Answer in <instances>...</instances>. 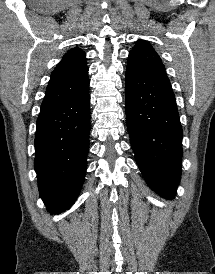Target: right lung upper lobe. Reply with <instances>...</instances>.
I'll return each mask as SVG.
<instances>
[{
	"instance_id": "1",
	"label": "right lung upper lobe",
	"mask_w": 215,
	"mask_h": 274,
	"mask_svg": "<svg viewBox=\"0 0 215 274\" xmlns=\"http://www.w3.org/2000/svg\"><path fill=\"white\" fill-rule=\"evenodd\" d=\"M87 73L84 51L69 50L51 74L41 108L54 106L78 93L89 83Z\"/></svg>"
}]
</instances>
